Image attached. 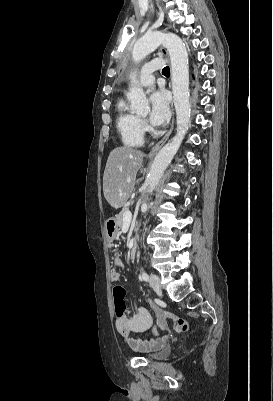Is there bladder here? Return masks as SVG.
I'll return each mask as SVG.
<instances>
[{
    "instance_id": "bladder-1",
    "label": "bladder",
    "mask_w": 273,
    "mask_h": 401,
    "mask_svg": "<svg viewBox=\"0 0 273 401\" xmlns=\"http://www.w3.org/2000/svg\"><path fill=\"white\" fill-rule=\"evenodd\" d=\"M171 354V348L169 346H163L153 353H150L146 358L151 360H161L168 357Z\"/></svg>"
}]
</instances>
